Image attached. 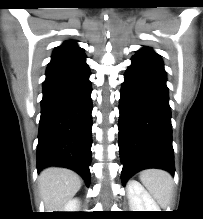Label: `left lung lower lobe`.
<instances>
[{"label":"left lung lower lobe","mask_w":203,"mask_h":219,"mask_svg":"<svg viewBox=\"0 0 203 219\" xmlns=\"http://www.w3.org/2000/svg\"><path fill=\"white\" fill-rule=\"evenodd\" d=\"M124 76L118 123L122 184L147 168L174 175L171 110L162 62L133 56Z\"/></svg>","instance_id":"1"}]
</instances>
